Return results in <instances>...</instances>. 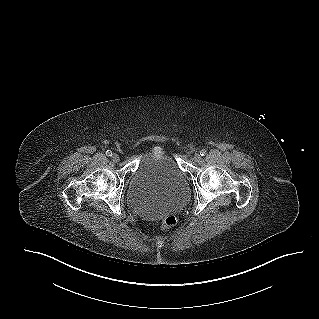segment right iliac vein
<instances>
[{
  "instance_id": "1",
  "label": "right iliac vein",
  "mask_w": 319,
  "mask_h": 319,
  "mask_svg": "<svg viewBox=\"0 0 319 319\" xmlns=\"http://www.w3.org/2000/svg\"><path fill=\"white\" fill-rule=\"evenodd\" d=\"M111 159L114 161V162H118L120 160V157L118 154H113Z\"/></svg>"
}]
</instances>
